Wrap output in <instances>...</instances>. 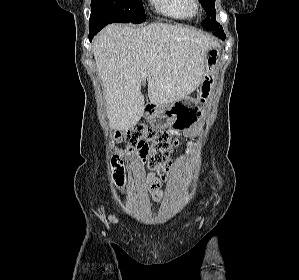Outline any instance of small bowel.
I'll use <instances>...</instances> for the list:
<instances>
[{"label": "small bowel", "mask_w": 299, "mask_h": 280, "mask_svg": "<svg viewBox=\"0 0 299 280\" xmlns=\"http://www.w3.org/2000/svg\"><path fill=\"white\" fill-rule=\"evenodd\" d=\"M161 177L160 170L153 167V172L149 173L146 178L147 189L155 202H159L163 198V192L161 190ZM191 186L192 185H190V187Z\"/></svg>", "instance_id": "small-bowel-1"}]
</instances>
